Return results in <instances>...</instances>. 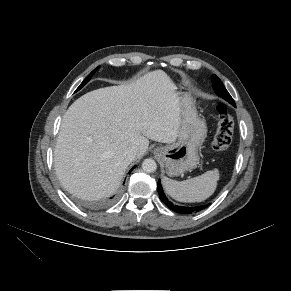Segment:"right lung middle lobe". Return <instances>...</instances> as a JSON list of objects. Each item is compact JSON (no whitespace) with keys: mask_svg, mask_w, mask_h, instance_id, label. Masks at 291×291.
I'll return each instance as SVG.
<instances>
[{"mask_svg":"<svg viewBox=\"0 0 291 291\" xmlns=\"http://www.w3.org/2000/svg\"><path fill=\"white\" fill-rule=\"evenodd\" d=\"M97 69V68H96ZM95 70H93L88 76L87 78L80 84V86L76 89V91L80 90L90 79L91 77L93 76V74L95 73Z\"/></svg>","mask_w":291,"mask_h":291,"instance_id":"dd1d6c3e","label":"right lung middle lobe"}]
</instances>
